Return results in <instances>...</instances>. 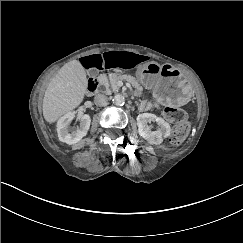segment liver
Listing matches in <instances>:
<instances>
[{
  "mask_svg": "<svg viewBox=\"0 0 243 243\" xmlns=\"http://www.w3.org/2000/svg\"><path fill=\"white\" fill-rule=\"evenodd\" d=\"M88 80L78 60L66 63L52 78L43 98V116L49 123L76 108L83 100Z\"/></svg>",
  "mask_w": 243,
  "mask_h": 243,
  "instance_id": "6515ba94",
  "label": "liver"
}]
</instances>
